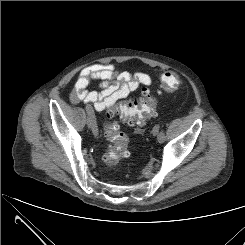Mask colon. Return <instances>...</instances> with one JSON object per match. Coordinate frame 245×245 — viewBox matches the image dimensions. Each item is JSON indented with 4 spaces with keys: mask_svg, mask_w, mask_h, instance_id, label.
<instances>
[{
    "mask_svg": "<svg viewBox=\"0 0 245 245\" xmlns=\"http://www.w3.org/2000/svg\"><path fill=\"white\" fill-rule=\"evenodd\" d=\"M160 83L163 89L173 91L179 86L180 78L175 72L167 71L161 76ZM155 113L156 99L149 89H143L138 98L121 102L116 109H110L107 116L112 118L119 114L128 125L139 129L148 119L153 118ZM106 129L113 144L103 154L102 160L112 164L129 155V142L116 121H110Z\"/></svg>",
    "mask_w": 245,
    "mask_h": 245,
    "instance_id": "colon-1",
    "label": "colon"
}]
</instances>
